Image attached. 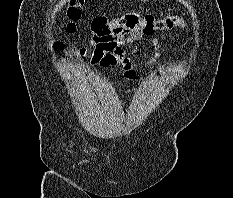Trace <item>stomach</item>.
Listing matches in <instances>:
<instances>
[{"label": "stomach", "instance_id": "stomach-1", "mask_svg": "<svg viewBox=\"0 0 233 198\" xmlns=\"http://www.w3.org/2000/svg\"><path fill=\"white\" fill-rule=\"evenodd\" d=\"M139 1H141V2H146V1H148V0H139Z\"/></svg>", "mask_w": 233, "mask_h": 198}]
</instances>
